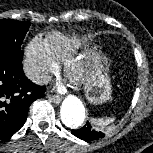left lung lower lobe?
I'll return each mask as SVG.
<instances>
[{
	"label": "left lung lower lobe",
	"mask_w": 153,
	"mask_h": 153,
	"mask_svg": "<svg viewBox=\"0 0 153 153\" xmlns=\"http://www.w3.org/2000/svg\"><path fill=\"white\" fill-rule=\"evenodd\" d=\"M72 134L85 141H93L104 137V134L100 131H96L92 128L89 122H87L82 128L72 130Z\"/></svg>",
	"instance_id": "0a47b994"
}]
</instances>
